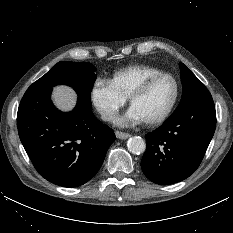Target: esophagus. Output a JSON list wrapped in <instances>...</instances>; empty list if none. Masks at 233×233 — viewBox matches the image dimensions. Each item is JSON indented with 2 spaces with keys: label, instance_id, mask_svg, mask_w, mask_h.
Returning a JSON list of instances; mask_svg holds the SVG:
<instances>
[{
  "label": "esophagus",
  "instance_id": "1",
  "mask_svg": "<svg viewBox=\"0 0 233 233\" xmlns=\"http://www.w3.org/2000/svg\"><path fill=\"white\" fill-rule=\"evenodd\" d=\"M115 135L117 138L123 139V140L128 139L131 136L130 134L125 133V132H121V131H116Z\"/></svg>",
  "mask_w": 233,
  "mask_h": 233
}]
</instances>
